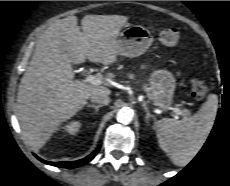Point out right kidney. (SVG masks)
Wrapping results in <instances>:
<instances>
[{"label": "right kidney", "instance_id": "1", "mask_svg": "<svg viewBox=\"0 0 230 186\" xmlns=\"http://www.w3.org/2000/svg\"><path fill=\"white\" fill-rule=\"evenodd\" d=\"M81 124L78 121H72L68 125L64 127V130L71 134L74 135L80 130Z\"/></svg>", "mask_w": 230, "mask_h": 186}]
</instances>
